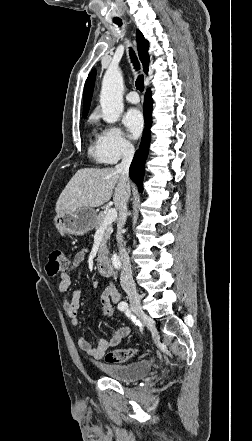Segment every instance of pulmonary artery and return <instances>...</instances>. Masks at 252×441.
<instances>
[{
  "mask_svg": "<svg viewBox=\"0 0 252 441\" xmlns=\"http://www.w3.org/2000/svg\"><path fill=\"white\" fill-rule=\"evenodd\" d=\"M126 100L131 104H137L140 99L135 91H131L126 95Z\"/></svg>",
  "mask_w": 252,
  "mask_h": 441,
  "instance_id": "1",
  "label": "pulmonary artery"
}]
</instances>
